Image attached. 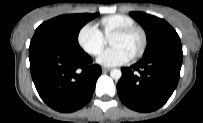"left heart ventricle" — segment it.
Segmentation results:
<instances>
[{
	"label": "left heart ventricle",
	"mask_w": 203,
	"mask_h": 123,
	"mask_svg": "<svg viewBox=\"0 0 203 123\" xmlns=\"http://www.w3.org/2000/svg\"><path fill=\"white\" fill-rule=\"evenodd\" d=\"M141 36L139 33H132L126 36H112L110 44L112 46H119L133 55L141 46Z\"/></svg>",
	"instance_id": "obj_1"
}]
</instances>
